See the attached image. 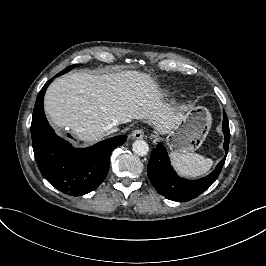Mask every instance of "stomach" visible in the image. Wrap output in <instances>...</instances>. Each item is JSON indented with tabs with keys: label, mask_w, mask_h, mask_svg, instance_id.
Here are the masks:
<instances>
[{
	"label": "stomach",
	"mask_w": 266,
	"mask_h": 266,
	"mask_svg": "<svg viewBox=\"0 0 266 266\" xmlns=\"http://www.w3.org/2000/svg\"><path fill=\"white\" fill-rule=\"evenodd\" d=\"M212 125V115L203 106L188 110L184 120L166 137L171 151L187 154L197 150L205 141Z\"/></svg>",
	"instance_id": "1"
}]
</instances>
